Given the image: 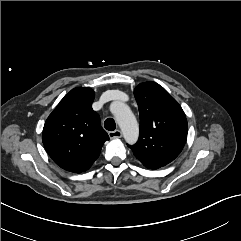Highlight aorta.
<instances>
[{"label": "aorta", "instance_id": "aorta-1", "mask_svg": "<svg viewBox=\"0 0 241 241\" xmlns=\"http://www.w3.org/2000/svg\"><path fill=\"white\" fill-rule=\"evenodd\" d=\"M112 113L122 130L126 142L134 144L138 139L139 127L136 117L128 105L122 102H115L112 106Z\"/></svg>", "mask_w": 241, "mask_h": 241}]
</instances>
